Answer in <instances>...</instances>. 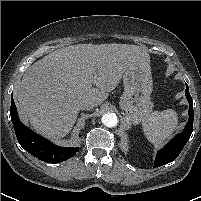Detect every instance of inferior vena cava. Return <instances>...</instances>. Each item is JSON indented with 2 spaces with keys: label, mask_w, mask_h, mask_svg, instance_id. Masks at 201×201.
<instances>
[{
  "label": "inferior vena cava",
  "mask_w": 201,
  "mask_h": 201,
  "mask_svg": "<svg viewBox=\"0 0 201 201\" xmlns=\"http://www.w3.org/2000/svg\"><path fill=\"white\" fill-rule=\"evenodd\" d=\"M93 107H94V104L91 101H82L78 104V108L80 110H89V109H92Z\"/></svg>",
  "instance_id": "1"
}]
</instances>
